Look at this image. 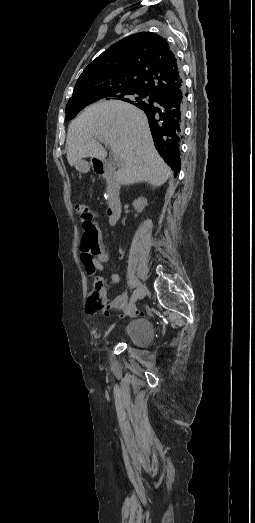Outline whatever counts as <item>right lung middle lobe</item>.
I'll return each instance as SVG.
<instances>
[{"mask_svg":"<svg viewBox=\"0 0 255 523\" xmlns=\"http://www.w3.org/2000/svg\"><path fill=\"white\" fill-rule=\"evenodd\" d=\"M148 95L143 92H126L117 96H113L112 98H106L109 99H118L126 102H133V101H139L143 98H146ZM96 102V101H95ZM94 103V102H91ZM91 103H84V104H73V105H67L66 106V120L73 119L83 108L90 105Z\"/></svg>","mask_w":255,"mask_h":523,"instance_id":"1","label":"right lung middle lobe"}]
</instances>
